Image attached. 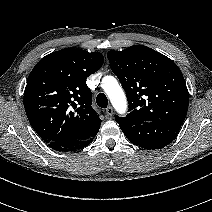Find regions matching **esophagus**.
Listing matches in <instances>:
<instances>
[{"mask_svg": "<svg viewBox=\"0 0 212 212\" xmlns=\"http://www.w3.org/2000/svg\"><path fill=\"white\" fill-rule=\"evenodd\" d=\"M106 114H107L108 116H112V114H113V108H112L111 106H108V107L106 108Z\"/></svg>", "mask_w": 212, "mask_h": 212, "instance_id": "esophagus-1", "label": "esophagus"}]
</instances>
